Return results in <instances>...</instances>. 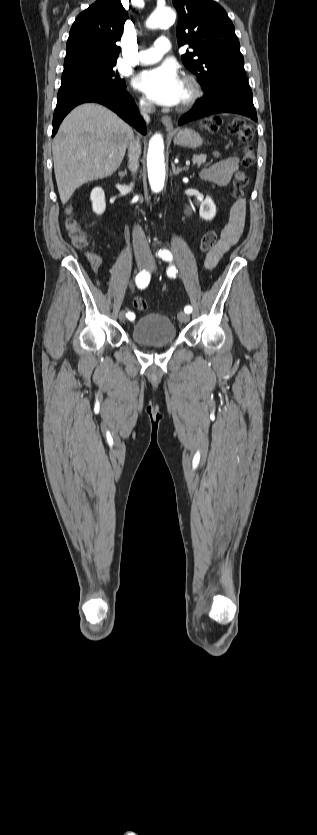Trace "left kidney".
Returning a JSON list of instances; mask_svg holds the SVG:
<instances>
[{"label": "left kidney", "instance_id": "1", "mask_svg": "<svg viewBox=\"0 0 317 835\" xmlns=\"http://www.w3.org/2000/svg\"><path fill=\"white\" fill-rule=\"evenodd\" d=\"M199 215L205 220H211L216 215V206L210 196L201 202Z\"/></svg>", "mask_w": 317, "mask_h": 835}]
</instances>
